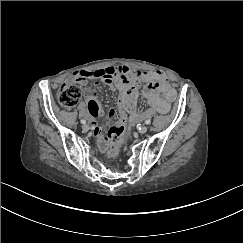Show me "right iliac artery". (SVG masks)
<instances>
[{
    "instance_id": "1",
    "label": "right iliac artery",
    "mask_w": 243,
    "mask_h": 243,
    "mask_svg": "<svg viewBox=\"0 0 243 243\" xmlns=\"http://www.w3.org/2000/svg\"><path fill=\"white\" fill-rule=\"evenodd\" d=\"M81 123H82V124H85V123H86V121H85L84 119H82V120H81Z\"/></svg>"
}]
</instances>
